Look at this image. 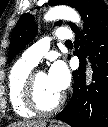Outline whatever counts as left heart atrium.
<instances>
[{
	"mask_svg": "<svg viewBox=\"0 0 108 127\" xmlns=\"http://www.w3.org/2000/svg\"><path fill=\"white\" fill-rule=\"evenodd\" d=\"M47 78L51 87L56 92L62 93L69 85L70 73L63 62L57 61L51 66Z\"/></svg>",
	"mask_w": 108,
	"mask_h": 127,
	"instance_id": "1",
	"label": "left heart atrium"
}]
</instances>
